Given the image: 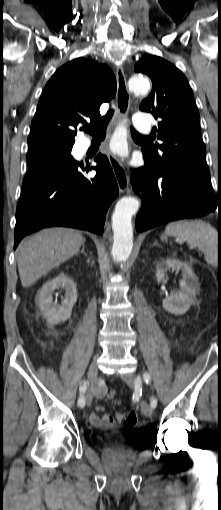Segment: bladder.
Instances as JSON below:
<instances>
[{
  "instance_id": "1",
  "label": "bladder",
  "mask_w": 221,
  "mask_h": 510,
  "mask_svg": "<svg viewBox=\"0 0 221 510\" xmlns=\"http://www.w3.org/2000/svg\"><path fill=\"white\" fill-rule=\"evenodd\" d=\"M120 438H121V436H120V435L112 434V435H110V436H108V437L101 438V439H100V442H101V443H103V444H105V445H107V446H109V445L112 443V441L118 440V439H120Z\"/></svg>"
}]
</instances>
